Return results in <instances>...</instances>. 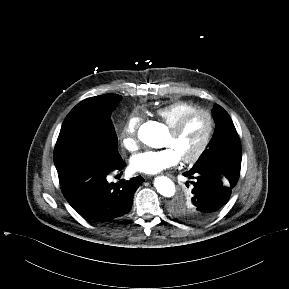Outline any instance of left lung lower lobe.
Wrapping results in <instances>:
<instances>
[{
    "mask_svg": "<svg viewBox=\"0 0 289 289\" xmlns=\"http://www.w3.org/2000/svg\"><path fill=\"white\" fill-rule=\"evenodd\" d=\"M239 174L240 168L237 167H211L183 173L185 177L194 179L191 199L188 200L200 222L212 218L228 201Z\"/></svg>",
    "mask_w": 289,
    "mask_h": 289,
    "instance_id": "0a47b994",
    "label": "left lung lower lobe"
}]
</instances>
